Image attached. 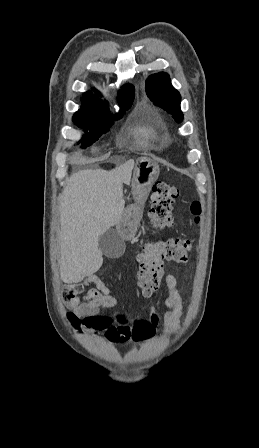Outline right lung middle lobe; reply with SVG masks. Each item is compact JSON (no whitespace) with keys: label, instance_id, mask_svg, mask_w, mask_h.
Segmentation results:
<instances>
[{"label":"right lung middle lobe","instance_id":"obj_1","mask_svg":"<svg viewBox=\"0 0 259 448\" xmlns=\"http://www.w3.org/2000/svg\"><path fill=\"white\" fill-rule=\"evenodd\" d=\"M123 113L124 110H121L118 117L122 116ZM113 120H116V118L113 117L109 111L94 114L74 115V124L79 128L84 129L86 132L82 138V147L86 148L98 140L102 134L109 130L113 124ZM87 130H90V132H87Z\"/></svg>","mask_w":259,"mask_h":448}]
</instances>
